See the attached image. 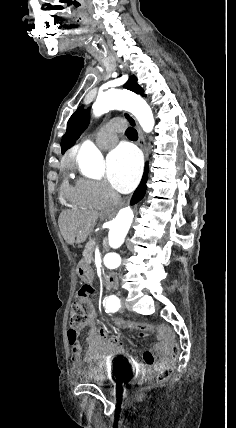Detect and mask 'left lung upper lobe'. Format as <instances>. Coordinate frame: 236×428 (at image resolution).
<instances>
[{
  "label": "left lung upper lobe",
  "mask_w": 236,
  "mask_h": 428,
  "mask_svg": "<svg viewBox=\"0 0 236 428\" xmlns=\"http://www.w3.org/2000/svg\"><path fill=\"white\" fill-rule=\"evenodd\" d=\"M124 87L142 96H146L142 87L137 84V78L134 75L129 78ZM89 116V109L85 110L84 106H80L70 117L67 124V131L61 140L62 153L75 144L76 140L87 127Z\"/></svg>",
  "instance_id": "5c2ea615"
}]
</instances>
